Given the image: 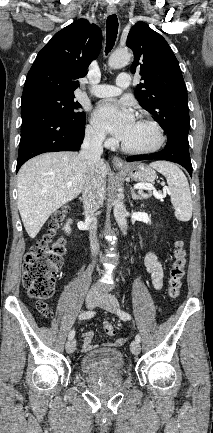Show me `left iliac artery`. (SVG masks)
<instances>
[{
  "label": "left iliac artery",
  "mask_w": 213,
  "mask_h": 433,
  "mask_svg": "<svg viewBox=\"0 0 213 433\" xmlns=\"http://www.w3.org/2000/svg\"><path fill=\"white\" fill-rule=\"evenodd\" d=\"M117 313H118V315L120 316V318L123 319V320H130V319H131L130 314L127 313V312H125V311H120V310H118ZM135 340L138 341V342H140V341H141V336H140L139 334H137V335L135 336Z\"/></svg>",
  "instance_id": "left-iliac-artery-1"
}]
</instances>
